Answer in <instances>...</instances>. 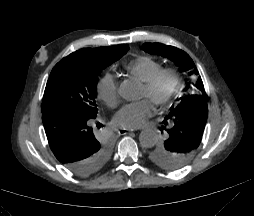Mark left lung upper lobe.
Listing matches in <instances>:
<instances>
[{"instance_id": "5c2ea615", "label": "left lung upper lobe", "mask_w": 254, "mask_h": 216, "mask_svg": "<svg viewBox=\"0 0 254 216\" xmlns=\"http://www.w3.org/2000/svg\"><path fill=\"white\" fill-rule=\"evenodd\" d=\"M142 48L150 54L167 57L193 76L162 122L161 131H167V140L154 146L149 154L157 165L168 170L179 169L191 161L201 142L208 116V96L194 62L183 50L160 43H145Z\"/></svg>"}]
</instances>
